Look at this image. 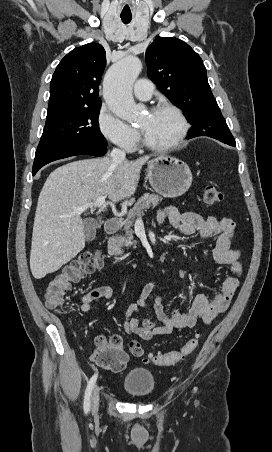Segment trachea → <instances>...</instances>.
<instances>
[{
	"mask_svg": "<svg viewBox=\"0 0 272 452\" xmlns=\"http://www.w3.org/2000/svg\"><path fill=\"white\" fill-rule=\"evenodd\" d=\"M121 20L124 24H128L132 20V17L131 16H121Z\"/></svg>",
	"mask_w": 272,
	"mask_h": 452,
	"instance_id": "trachea-1",
	"label": "trachea"
}]
</instances>
